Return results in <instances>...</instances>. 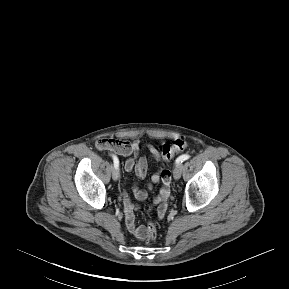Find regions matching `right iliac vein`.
Here are the masks:
<instances>
[{"label":"right iliac vein","instance_id":"1","mask_svg":"<svg viewBox=\"0 0 289 289\" xmlns=\"http://www.w3.org/2000/svg\"><path fill=\"white\" fill-rule=\"evenodd\" d=\"M112 178L114 181L118 180L119 178V169L118 168H113L112 169Z\"/></svg>","mask_w":289,"mask_h":289}]
</instances>
